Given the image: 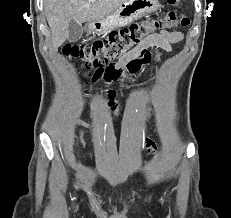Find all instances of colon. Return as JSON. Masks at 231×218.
Here are the masks:
<instances>
[{"label":"colon","instance_id":"obj_1","mask_svg":"<svg viewBox=\"0 0 231 218\" xmlns=\"http://www.w3.org/2000/svg\"><path fill=\"white\" fill-rule=\"evenodd\" d=\"M167 1L171 5H176L180 0ZM188 24L189 18L186 15L170 10L160 20L134 23L127 28L112 32L104 40H97L87 45H67L64 47V54L78 60L86 69H100L101 66H109L120 56L124 57L141 47L157 29ZM134 58L151 59V54L147 49H143Z\"/></svg>","mask_w":231,"mask_h":218}]
</instances>
